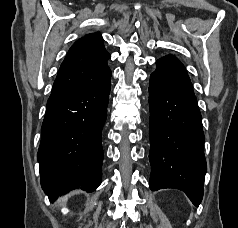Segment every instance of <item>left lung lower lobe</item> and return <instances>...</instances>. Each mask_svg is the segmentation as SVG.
Wrapping results in <instances>:
<instances>
[{
  "instance_id": "0a47b994",
  "label": "left lung lower lobe",
  "mask_w": 238,
  "mask_h": 228,
  "mask_svg": "<svg viewBox=\"0 0 238 228\" xmlns=\"http://www.w3.org/2000/svg\"><path fill=\"white\" fill-rule=\"evenodd\" d=\"M156 63L149 85V187L182 190L198 206L207 166L197 100L178 59L167 55Z\"/></svg>"
}]
</instances>
